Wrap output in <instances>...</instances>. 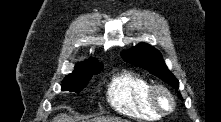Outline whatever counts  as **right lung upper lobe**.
<instances>
[{
  "mask_svg": "<svg viewBox=\"0 0 221 122\" xmlns=\"http://www.w3.org/2000/svg\"><path fill=\"white\" fill-rule=\"evenodd\" d=\"M101 67H102V65L97 60L90 59L86 62H81V63L77 64L74 72L69 75L85 74V73H89L94 70H97Z\"/></svg>",
  "mask_w": 221,
  "mask_h": 122,
  "instance_id": "right-lung-upper-lobe-1",
  "label": "right lung upper lobe"
}]
</instances>
